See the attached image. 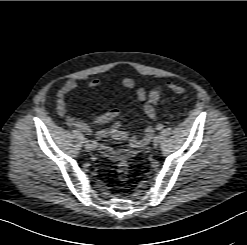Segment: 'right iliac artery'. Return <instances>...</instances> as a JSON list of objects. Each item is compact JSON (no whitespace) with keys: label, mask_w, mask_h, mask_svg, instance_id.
<instances>
[{"label":"right iliac artery","mask_w":247,"mask_h":245,"mask_svg":"<svg viewBox=\"0 0 247 245\" xmlns=\"http://www.w3.org/2000/svg\"><path fill=\"white\" fill-rule=\"evenodd\" d=\"M97 146H98V143L96 141H92L91 144H89V147L92 149L97 148Z\"/></svg>","instance_id":"82829eb1"}]
</instances>
